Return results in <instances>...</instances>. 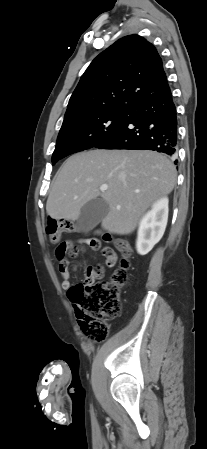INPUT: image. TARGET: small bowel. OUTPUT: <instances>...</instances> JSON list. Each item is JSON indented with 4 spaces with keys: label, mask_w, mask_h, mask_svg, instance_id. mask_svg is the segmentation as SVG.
<instances>
[{
    "label": "small bowel",
    "mask_w": 207,
    "mask_h": 449,
    "mask_svg": "<svg viewBox=\"0 0 207 449\" xmlns=\"http://www.w3.org/2000/svg\"><path fill=\"white\" fill-rule=\"evenodd\" d=\"M80 242H82V240H80ZM113 257H114V260L116 261L115 253H114ZM107 267H111V266H107ZM59 271H60V274L62 277L61 286L63 289H68L71 286V273H70V270L68 269V265L67 266L59 265ZM96 277H97L96 269L89 267L86 271L85 280L91 281V280L95 279Z\"/></svg>",
    "instance_id": "1"
}]
</instances>
